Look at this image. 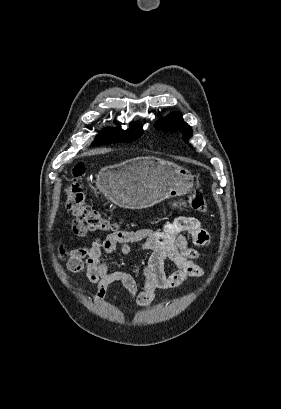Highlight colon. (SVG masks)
<instances>
[{
  "label": "colon",
  "instance_id": "colon-1",
  "mask_svg": "<svg viewBox=\"0 0 281 409\" xmlns=\"http://www.w3.org/2000/svg\"><path fill=\"white\" fill-rule=\"evenodd\" d=\"M85 172L86 165L84 163L79 162L75 164L71 171L70 181L65 189L67 194L65 206L74 216V228L77 232H81L83 227L92 232L101 234L119 232L121 226L116 221L86 203L85 193L81 184V179ZM188 204L193 211L200 213L207 211L205 199L198 190L192 191Z\"/></svg>",
  "mask_w": 281,
  "mask_h": 409
}]
</instances>
